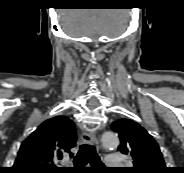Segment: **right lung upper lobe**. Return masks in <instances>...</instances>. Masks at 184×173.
I'll list each match as a JSON object with an SVG mask.
<instances>
[{
    "instance_id": "1",
    "label": "right lung upper lobe",
    "mask_w": 184,
    "mask_h": 173,
    "mask_svg": "<svg viewBox=\"0 0 184 173\" xmlns=\"http://www.w3.org/2000/svg\"><path fill=\"white\" fill-rule=\"evenodd\" d=\"M76 131L72 120L56 116L43 122L18 152L13 173H67L69 169L56 167L64 155L71 154L76 145Z\"/></svg>"
}]
</instances>
